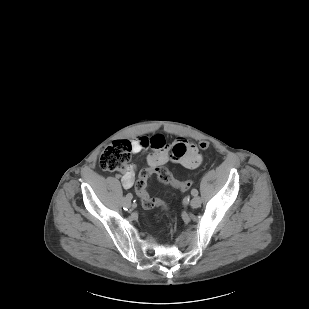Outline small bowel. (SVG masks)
Returning <instances> with one entry per match:
<instances>
[{
	"instance_id": "1",
	"label": "small bowel",
	"mask_w": 309,
	"mask_h": 309,
	"mask_svg": "<svg viewBox=\"0 0 309 309\" xmlns=\"http://www.w3.org/2000/svg\"><path fill=\"white\" fill-rule=\"evenodd\" d=\"M149 149L152 150L147 157L150 168L172 161L185 168L194 169L202 162L200 147L183 137L177 138L171 147L167 146L165 136L161 133L151 136L141 135L132 141L134 153L144 152ZM136 170V165H130L121 175V181L125 188L133 186Z\"/></svg>"
}]
</instances>
